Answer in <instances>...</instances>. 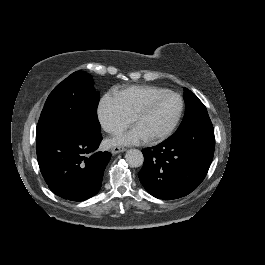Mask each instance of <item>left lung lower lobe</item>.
<instances>
[{"instance_id": "obj_1", "label": "left lung lower lobe", "mask_w": 265, "mask_h": 265, "mask_svg": "<svg viewBox=\"0 0 265 265\" xmlns=\"http://www.w3.org/2000/svg\"><path fill=\"white\" fill-rule=\"evenodd\" d=\"M215 148L211 120L177 130L157 146L142 150L144 164L138 173L144 188L163 200L191 193L205 178Z\"/></svg>"}]
</instances>
